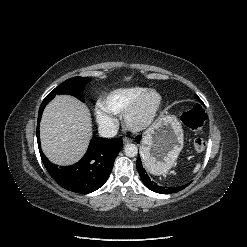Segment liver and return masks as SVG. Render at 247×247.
I'll list each match as a JSON object with an SVG mask.
<instances>
[{
    "instance_id": "liver-1",
    "label": "liver",
    "mask_w": 247,
    "mask_h": 247,
    "mask_svg": "<svg viewBox=\"0 0 247 247\" xmlns=\"http://www.w3.org/2000/svg\"><path fill=\"white\" fill-rule=\"evenodd\" d=\"M91 136L89 109L74 97L58 95L45 108L40 137L42 150L51 162L61 166L76 163Z\"/></svg>"
}]
</instances>
